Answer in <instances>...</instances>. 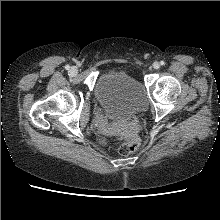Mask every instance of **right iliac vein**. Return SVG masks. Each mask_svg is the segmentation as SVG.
I'll use <instances>...</instances> for the list:
<instances>
[{
  "instance_id": "63e3f726",
  "label": "right iliac vein",
  "mask_w": 220,
  "mask_h": 220,
  "mask_svg": "<svg viewBox=\"0 0 220 220\" xmlns=\"http://www.w3.org/2000/svg\"><path fill=\"white\" fill-rule=\"evenodd\" d=\"M78 73V69L76 68V67H72L71 69H70V74L71 75H76Z\"/></svg>"
}]
</instances>
